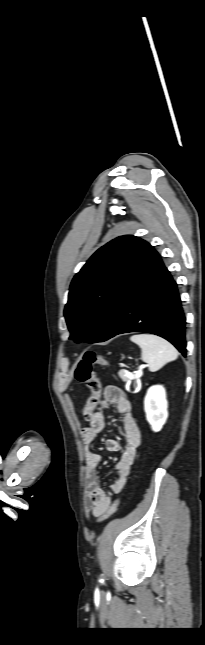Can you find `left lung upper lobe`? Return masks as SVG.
<instances>
[{"label":"left lung upper lobe","instance_id":"5c2ea615","mask_svg":"<svg viewBox=\"0 0 205 645\" xmlns=\"http://www.w3.org/2000/svg\"><path fill=\"white\" fill-rule=\"evenodd\" d=\"M144 240L120 236L97 250L70 285L64 315L70 340L103 342L116 322L124 284Z\"/></svg>","mask_w":205,"mask_h":645}]
</instances>
